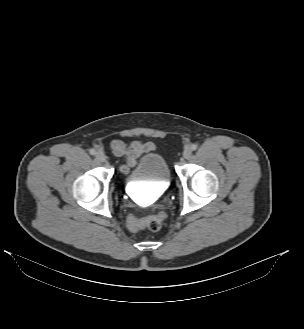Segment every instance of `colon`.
<instances>
[{"label": "colon", "instance_id": "5ec220e1", "mask_svg": "<svg viewBox=\"0 0 304 329\" xmlns=\"http://www.w3.org/2000/svg\"><path fill=\"white\" fill-rule=\"evenodd\" d=\"M165 213L159 210L156 214L148 215L144 218H139L134 214H129L126 218V225L131 231H139L147 228L151 231L160 230L163 221L165 220Z\"/></svg>", "mask_w": 304, "mask_h": 329}]
</instances>
